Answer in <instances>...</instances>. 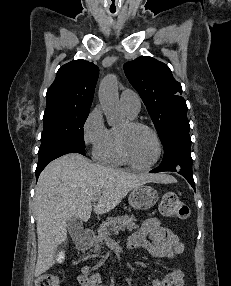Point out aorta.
Segmentation results:
<instances>
[{"mask_svg":"<svg viewBox=\"0 0 231 286\" xmlns=\"http://www.w3.org/2000/svg\"><path fill=\"white\" fill-rule=\"evenodd\" d=\"M99 101L110 126H117L124 121V115L119 105L117 77L107 75L99 86Z\"/></svg>","mask_w":231,"mask_h":286,"instance_id":"aorta-1","label":"aorta"}]
</instances>
